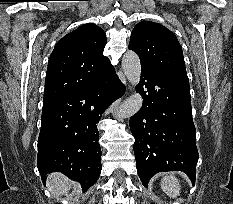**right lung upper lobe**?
I'll use <instances>...</instances> for the list:
<instances>
[{
    "label": "right lung upper lobe",
    "mask_w": 233,
    "mask_h": 204,
    "mask_svg": "<svg viewBox=\"0 0 233 204\" xmlns=\"http://www.w3.org/2000/svg\"><path fill=\"white\" fill-rule=\"evenodd\" d=\"M105 45V32L91 23L60 39L48 62L44 104L93 84L111 66Z\"/></svg>",
    "instance_id": "right-lung-upper-lobe-1"
}]
</instances>
